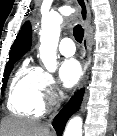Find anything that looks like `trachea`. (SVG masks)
I'll return each instance as SVG.
<instances>
[{
  "label": "trachea",
  "instance_id": "1",
  "mask_svg": "<svg viewBox=\"0 0 117 136\" xmlns=\"http://www.w3.org/2000/svg\"><path fill=\"white\" fill-rule=\"evenodd\" d=\"M73 36L77 42L81 43L84 36V30L80 24H77L73 29Z\"/></svg>",
  "mask_w": 117,
  "mask_h": 136
}]
</instances>
